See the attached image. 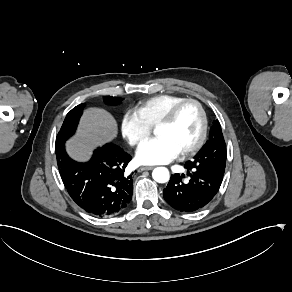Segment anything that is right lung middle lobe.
I'll return each instance as SVG.
<instances>
[{"label": "right lung middle lobe", "mask_w": 292, "mask_h": 292, "mask_svg": "<svg viewBox=\"0 0 292 292\" xmlns=\"http://www.w3.org/2000/svg\"><path fill=\"white\" fill-rule=\"evenodd\" d=\"M103 99L104 102L109 105H117L123 100L122 98L110 96H105ZM83 108H84L83 104L77 105L66 115L62 127L56 137L55 144L65 142L69 137H71L74 134L79 119L82 115Z\"/></svg>", "instance_id": "right-lung-middle-lobe-1"}]
</instances>
